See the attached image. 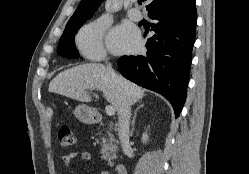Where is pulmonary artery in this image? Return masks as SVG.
<instances>
[{
  "label": "pulmonary artery",
  "mask_w": 249,
  "mask_h": 174,
  "mask_svg": "<svg viewBox=\"0 0 249 174\" xmlns=\"http://www.w3.org/2000/svg\"><path fill=\"white\" fill-rule=\"evenodd\" d=\"M127 13H128L129 18H130L131 20H133V21L138 22V21L142 20V14H141V12H140L138 9H136V8H131V9H129Z\"/></svg>",
  "instance_id": "1"
}]
</instances>
